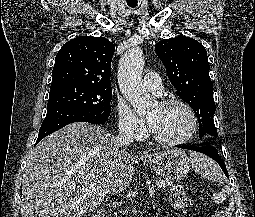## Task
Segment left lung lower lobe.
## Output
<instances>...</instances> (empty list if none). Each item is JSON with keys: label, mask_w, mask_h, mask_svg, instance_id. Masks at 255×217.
<instances>
[{"label": "left lung lower lobe", "mask_w": 255, "mask_h": 217, "mask_svg": "<svg viewBox=\"0 0 255 217\" xmlns=\"http://www.w3.org/2000/svg\"><path fill=\"white\" fill-rule=\"evenodd\" d=\"M178 148L193 150L211 157L220 165L224 174L227 176V178H229L226 166L218 152V149L214 145L208 143L203 144L202 146H179Z\"/></svg>", "instance_id": "obj_1"}]
</instances>
